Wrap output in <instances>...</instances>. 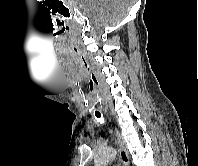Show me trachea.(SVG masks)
Masks as SVG:
<instances>
[{
    "instance_id": "obj_1",
    "label": "trachea",
    "mask_w": 198,
    "mask_h": 166,
    "mask_svg": "<svg viewBox=\"0 0 198 166\" xmlns=\"http://www.w3.org/2000/svg\"><path fill=\"white\" fill-rule=\"evenodd\" d=\"M95 115L97 116V118H100V117H101V115H100V114H98V113H97V114H95Z\"/></svg>"
}]
</instances>
